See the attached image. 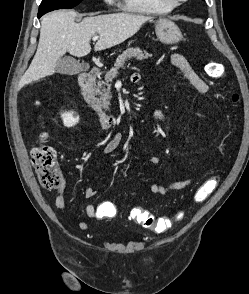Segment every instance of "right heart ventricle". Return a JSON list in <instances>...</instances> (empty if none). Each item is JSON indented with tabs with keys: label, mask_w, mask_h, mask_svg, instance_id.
Wrapping results in <instances>:
<instances>
[{
	"label": "right heart ventricle",
	"mask_w": 249,
	"mask_h": 294,
	"mask_svg": "<svg viewBox=\"0 0 249 294\" xmlns=\"http://www.w3.org/2000/svg\"><path fill=\"white\" fill-rule=\"evenodd\" d=\"M122 8L138 14H166L175 6L166 0H119Z\"/></svg>",
	"instance_id": "e07e8e85"
}]
</instances>
